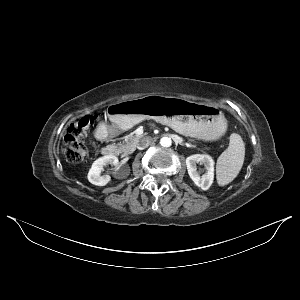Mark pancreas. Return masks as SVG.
<instances>
[{"instance_id": "cf45deb5", "label": "pancreas", "mask_w": 300, "mask_h": 300, "mask_svg": "<svg viewBox=\"0 0 300 300\" xmlns=\"http://www.w3.org/2000/svg\"><path fill=\"white\" fill-rule=\"evenodd\" d=\"M140 138L141 136L136 135L125 138L123 142L117 144L119 151L123 152L124 155L132 153L138 145Z\"/></svg>"}]
</instances>
